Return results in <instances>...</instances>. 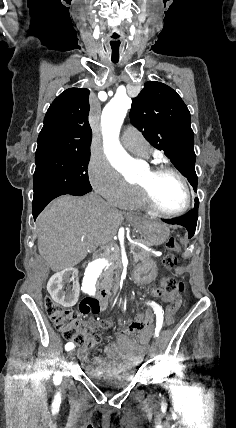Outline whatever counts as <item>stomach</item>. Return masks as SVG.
<instances>
[{
  "instance_id": "stomach-1",
  "label": "stomach",
  "mask_w": 236,
  "mask_h": 428,
  "mask_svg": "<svg viewBox=\"0 0 236 428\" xmlns=\"http://www.w3.org/2000/svg\"><path fill=\"white\" fill-rule=\"evenodd\" d=\"M142 234L144 242L150 244V246H160L168 240L170 236V230L166 224L159 222V220H151V222H144L142 226ZM157 263L152 258L144 260L138 263L133 274L130 276V281L135 285L143 287L148 286L149 283L153 282L154 276L157 274Z\"/></svg>"
}]
</instances>
